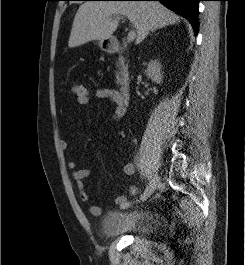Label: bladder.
Wrapping results in <instances>:
<instances>
[{
	"instance_id": "1",
	"label": "bladder",
	"mask_w": 245,
	"mask_h": 265,
	"mask_svg": "<svg viewBox=\"0 0 245 265\" xmlns=\"http://www.w3.org/2000/svg\"><path fill=\"white\" fill-rule=\"evenodd\" d=\"M159 224L153 215L141 210H109L102 216L100 230L103 235H148L158 232Z\"/></svg>"
}]
</instances>
